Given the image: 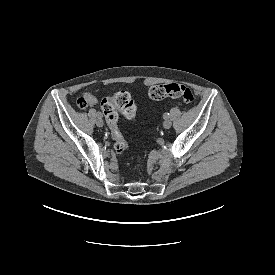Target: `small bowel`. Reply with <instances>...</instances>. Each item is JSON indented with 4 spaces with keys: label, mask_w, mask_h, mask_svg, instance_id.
<instances>
[{
    "label": "small bowel",
    "mask_w": 275,
    "mask_h": 275,
    "mask_svg": "<svg viewBox=\"0 0 275 275\" xmlns=\"http://www.w3.org/2000/svg\"><path fill=\"white\" fill-rule=\"evenodd\" d=\"M85 100L91 105L97 104L98 102L97 99L89 93L85 94Z\"/></svg>",
    "instance_id": "small-bowel-1"
}]
</instances>
